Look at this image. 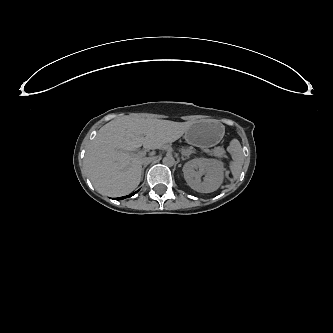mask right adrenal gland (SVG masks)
Wrapping results in <instances>:
<instances>
[{
	"mask_svg": "<svg viewBox=\"0 0 333 333\" xmlns=\"http://www.w3.org/2000/svg\"><path fill=\"white\" fill-rule=\"evenodd\" d=\"M146 167H147V165H145V166L142 168V172H141L142 176L144 175V170H145Z\"/></svg>",
	"mask_w": 333,
	"mask_h": 333,
	"instance_id": "2a0ac1e0",
	"label": "right adrenal gland"
}]
</instances>
